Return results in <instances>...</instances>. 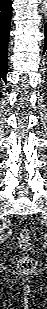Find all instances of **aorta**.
I'll use <instances>...</instances> for the list:
<instances>
[{
    "instance_id": "obj_1",
    "label": "aorta",
    "mask_w": 47,
    "mask_h": 309,
    "mask_svg": "<svg viewBox=\"0 0 47 309\" xmlns=\"http://www.w3.org/2000/svg\"><path fill=\"white\" fill-rule=\"evenodd\" d=\"M43 3H44V6H45V8H46V6H47V0H43Z\"/></svg>"
}]
</instances>
